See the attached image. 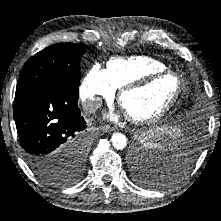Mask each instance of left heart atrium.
<instances>
[{
  "label": "left heart atrium",
  "instance_id": "obj_1",
  "mask_svg": "<svg viewBox=\"0 0 221 221\" xmlns=\"http://www.w3.org/2000/svg\"><path fill=\"white\" fill-rule=\"evenodd\" d=\"M111 117H116L115 115H112Z\"/></svg>",
  "mask_w": 221,
  "mask_h": 221
}]
</instances>
